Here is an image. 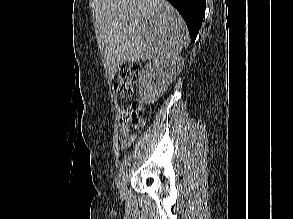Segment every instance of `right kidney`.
Wrapping results in <instances>:
<instances>
[{
    "instance_id": "right-kidney-1",
    "label": "right kidney",
    "mask_w": 293,
    "mask_h": 219,
    "mask_svg": "<svg viewBox=\"0 0 293 219\" xmlns=\"http://www.w3.org/2000/svg\"><path fill=\"white\" fill-rule=\"evenodd\" d=\"M184 65L181 56L155 58L142 69L139 78L140 99L147 104L158 100L175 80Z\"/></svg>"
}]
</instances>
